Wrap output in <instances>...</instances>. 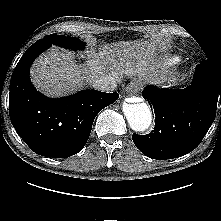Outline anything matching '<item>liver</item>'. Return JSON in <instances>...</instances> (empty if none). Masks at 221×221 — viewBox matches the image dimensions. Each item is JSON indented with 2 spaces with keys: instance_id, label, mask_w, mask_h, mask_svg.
I'll return each mask as SVG.
<instances>
[{
  "instance_id": "1",
  "label": "liver",
  "mask_w": 221,
  "mask_h": 221,
  "mask_svg": "<svg viewBox=\"0 0 221 221\" xmlns=\"http://www.w3.org/2000/svg\"><path fill=\"white\" fill-rule=\"evenodd\" d=\"M155 41L116 42L105 44L98 52H88L85 67L78 65L71 53L52 47L31 67L33 84L45 95L58 97L83 87L84 82L100 76L113 77L120 82L123 76H138L140 80L157 82L158 74L152 65L157 50Z\"/></svg>"
}]
</instances>
